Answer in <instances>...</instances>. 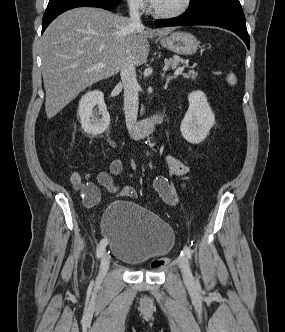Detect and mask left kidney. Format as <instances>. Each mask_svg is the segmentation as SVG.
Segmentation results:
<instances>
[{
	"mask_svg": "<svg viewBox=\"0 0 285 332\" xmlns=\"http://www.w3.org/2000/svg\"><path fill=\"white\" fill-rule=\"evenodd\" d=\"M189 108L181 122L180 131L191 144L201 143L215 123V115L202 91H193L188 95Z\"/></svg>",
	"mask_w": 285,
	"mask_h": 332,
	"instance_id": "left-kidney-1",
	"label": "left kidney"
}]
</instances>
